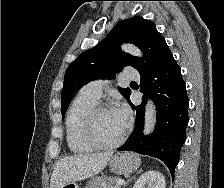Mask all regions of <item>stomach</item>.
Segmentation results:
<instances>
[{
    "instance_id": "obj_1",
    "label": "stomach",
    "mask_w": 224,
    "mask_h": 188,
    "mask_svg": "<svg viewBox=\"0 0 224 188\" xmlns=\"http://www.w3.org/2000/svg\"><path fill=\"white\" fill-rule=\"evenodd\" d=\"M141 161L134 153L124 152L113 155L109 160L111 170L116 174L132 173L139 168ZM61 188H79L75 182L67 183Z\"/></svg>"
}]
</instances>
